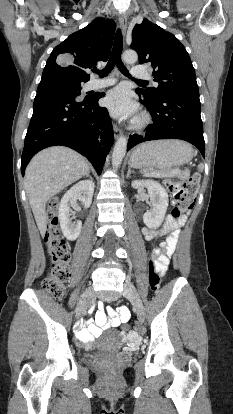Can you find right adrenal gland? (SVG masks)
Returning a JSON list of instances; mask_svg holds the SVG:
<instances>
[{"instance_id":"1","label":"right adrenal gland","mask_w":233,"mask_h":414,"mask_svg":"<svg viewBox=\"0 0 233 414\" xmlns=\"http://www.w3.org/2000/svg\"><path fill=\"white\" fill-rule=\"evenodd\" d=\"M86 177H89L91 180H93V178L90 176V171L86 174Z\"/></svg>"}]
</instances>
